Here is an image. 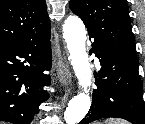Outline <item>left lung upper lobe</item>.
I'll return each mask as SVG.
<instances>
[{"label":"left lung upper lobe","mask_w":145,"mask_h":124,"mask_svg":"<svg viewBox=\"0 0 145 124\" xmlns=\"http://www.w3.org/2000/svg\"><path fill=\"white\" fill-rule=\"evenodd\" d=\"M70 9L104 46L137 60L126 0H70Z\"/></svg>","instance_id":"5c2ea615"}]
</instances>
